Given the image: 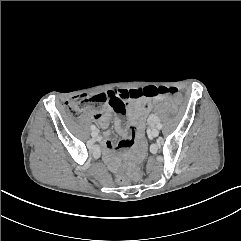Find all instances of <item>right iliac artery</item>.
Here are the masks:
<instances>
[{
	"mask_svg": "<svg viewBox=\"0 0 241 241\" xmlns=\"http://www.w3.org/2000/svg\"><path fill=\"white\" fill-rule=\"evenodd\" d=\"M90 128H91L92 130H95V129H96L95 125H91Z\"/></svg>",
	"mask_w": 241,
	"mask_h": 241,
	"instance_id": "82829eb1",
	"label": "right iliac artery"
}]
</instances>
